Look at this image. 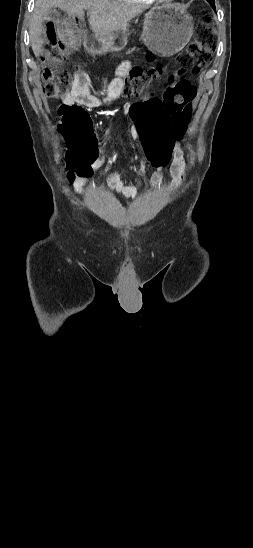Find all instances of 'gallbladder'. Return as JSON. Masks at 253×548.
<instances>
[{"mask_svg": "<svg viewBox=\"0 0 253 548\" xmlns=\"http://www.w3.org/2000/svg\"><path fill=\"white\" fill-rule=\"evenodd\" d=\"M59 15H60L59 11H57L56 9H51L47 14L46 19L47 20H54L57 17H59Z\"/></svg>", "mask_w": 253, "mask_h": 548, "instance_id": "bac80fb5", "label": "gallbladder"}]
</instances>
